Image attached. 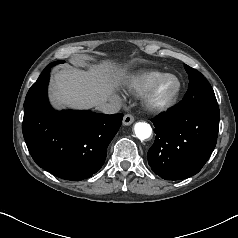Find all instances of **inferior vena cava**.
<instances>
[{"label":"inferior vena cava","instance_id":"602c4592","mask_svg":"<svg viewBox=\"0 0 238 238\" xmlns=\"http://www.w3.org/2000/svg\"><path fill=\"white\" fill-rule=\"evenodd\" d=\"M121 108V99L118 96H112L108 101L101 102L97 109L105 114L117 113Z\"/></svg>","mask_w":238,"mask_h":238}]
</instances>
